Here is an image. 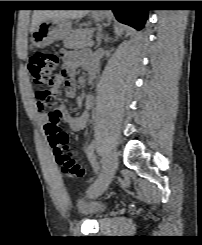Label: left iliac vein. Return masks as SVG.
Masks as SVG:
<instances>
[{
  "label": "left iliac vein",
  "mask_w": 202,
  "mask_h": 245,
  "mask_svg": "<svg viewBox=\"0 0 202 245\" xmlns=\"http://www.w3.org/2000/svg\"><path fill=\"white\" fill-rule=\"evenodd\" d=\"M118 165V155L115 149L110 150L103 158V170L97 179V187L92 196L101 195L111 183Z\"/></svg>",
  "instance_id": "obj_1"
}]
</instances>
